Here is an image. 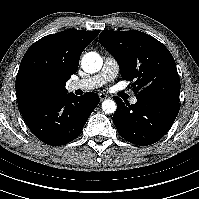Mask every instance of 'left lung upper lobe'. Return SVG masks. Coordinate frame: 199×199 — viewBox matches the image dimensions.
Instances as JSON below:
<instances>
[{
	"label": "left lung upper lobe",
	"instance_id": "1",
	"mask_svg": "<svg viewBox=\"0 0 199 199\" xmlns=\"http://www.w3.org/2000/svg\"><path fill=\"white\" fill-rule=\"evenodd\" d=\"M99 42L118 62L122 78L133 81L137 97L179 104L180 80L165 45L137 30L102 31Z\"/></svg>",
	"mask_w": 199,
	"mask_h": 199
}]
</instances>
